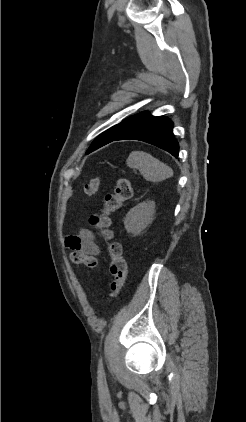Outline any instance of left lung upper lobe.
<instances>
[{"label": "left lung upper lobe", "instance_id": "obj_1", "mask_svg": "<svg viewBox=\"0 0 246 422\" xmlns=\"http://www.w3.org/2000/svg\"><path fill=\"white\" fill-rule=\"evenodd\" d=\"M146 113L147 112H142V113L133 115L125 119L118 125H115L114 127L100 134L89 147L87 154L98 149L104 143L114 140L115 138L120 136L123 132H125L128 128H130L135 122H137L140 118H142Z\"/></svg>", "mask_w": 246, "mask_h": 422}]
</instances>
